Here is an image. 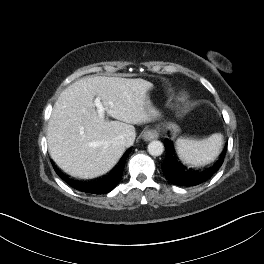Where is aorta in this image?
Here are the masks:
<instances>
[{
    "label": "aorta",
    "instance_id": "obj_1",
    "mask_svg": "<svg viewBox=\"0 0 264 264\" xmlns=\"http://www.w3.org/2000/svg\"><path fill=\"white\" fill-rule=\"evenodd\" d=\"M164 151V145L161 141L153 140L148 145V152L152 156H160Z\"/></svg>",
    "mask_w": 264,
    "mask_h": 264
}]
</instances>
